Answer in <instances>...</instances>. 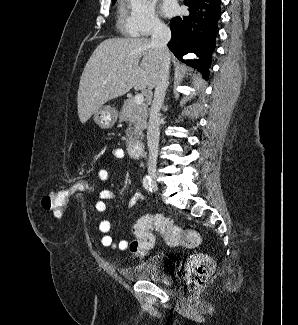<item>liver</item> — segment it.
I'll list each match as a JSON object with an SVG mask.
<instances>
[{
  "mask_svg": "<svg viewBox=\"0 0 298 325\" xmlns=\"http://www.w3.org/2000/svg\"><path fill=\"white\" fill-rule=\"evenodd\" d=\"M159 66L157 50L151 46V38L102 40L81 74L77 92L81 122H87L97 108L112 98L126 94L133 86L149 90L155 88Z\"/></svg>",
  "mask_w": 298,
  "mask_h": 325,
  "instance_id": "6515ba94",
  "label": "liver"
}]
</instances>
